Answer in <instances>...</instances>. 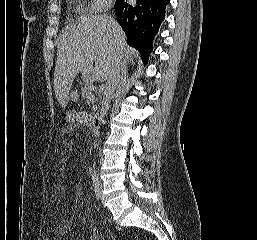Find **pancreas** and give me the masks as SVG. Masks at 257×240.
<instances>
[{
	"label": "pancreas",
	"instance_id": "cf45deb5",
	"mask_svg": "<svg viewBox=\"0 0 257 240\" xmlns=\"http://www.w3.org/2000/svg\"><path fill=\"white\" fill-rule=\"evenodd\" d=\"M93 95L89 89V86L88 85H85L83 88H82V98L86 101V102H92L94 101V99L92 100L90 98V96Z\"/></svg>",
	"mask_w": 257,
	"mask_h": 240
}]
</instances>
